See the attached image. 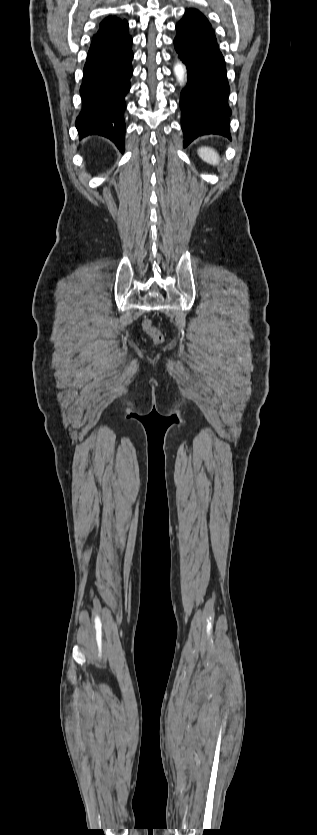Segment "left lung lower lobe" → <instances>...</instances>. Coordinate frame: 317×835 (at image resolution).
<instances>
[{
	"label": "left lung lower lobe",
	"mask_w": 317,
	"mask_h": 835,
	"mask_svg": "<svg viewBox=\"0 0 317 835\" xmlns=\"http://www.w3.org/2000/svg\"><path fill=\"white\" fill-rule=\"evenodd\" d=\"M175 49L187 67L188 82L181 92L184 146L199 136L218 134L231 139L230 87L224 58L214 30L196 9L186 10L176 25Z\"/></svg>",
	"instance_id": "left-lung-lower-lobe-1"
}]
</instances>
